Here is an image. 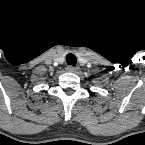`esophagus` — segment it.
I'll return each instance as SVG.
<instances>
[{
	"label": "esophagus",
	"mask_w": 145,
	"mask_h": 145,
	"mask_svg": "<svg viewBox=\"0 0 145 145\" xmlns=\"http://www.w3.org/2000/svg\"><path fill=\"white\" fill-rule=\"evenodd\" d=\"M78 70V67H74V66H68L67 67V71H69V72H76Z\"/></svg>",
	"instance_id": "esophagus-1"
}]
</instances>
